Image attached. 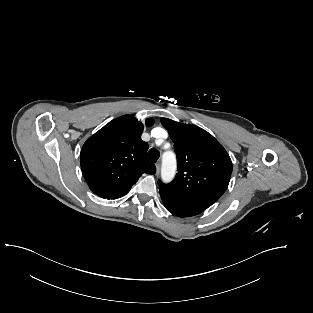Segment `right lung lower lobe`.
I'll return each mask as SVG.
<instances>
[{"instance_id": "98d812e1", "label": "right lung lower lobe", "mask_w": 313, "mask_h": 313, "mask_svg": "<svg viewBox=\"0 0 313 313\" xmlns=\"http://www.w3.org/2000/svg\"><path fill=\"white\" fill-rule=\"evenodd\" d=\"M127 192H128V191H127ZM127 192L117 194V195H115V196H113V197H110V198H108V199H117V198H120V197L124 196Z\"/></svg>"}]
</instances>
